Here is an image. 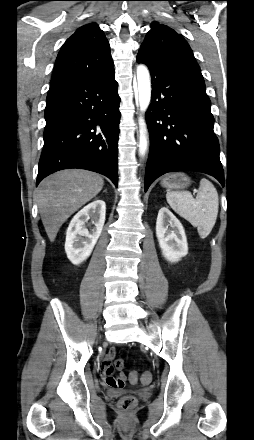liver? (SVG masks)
<instances>
[{
  "label": "liver",
  "mask_w": 254,
  "mask_h": 440,
  "mask_svg": "<svg viewBox=\"0 0 254 440\" xmlns=\"http://www.w3.org/2000/svg\"><path fill=\"white\" fill-rule=\"evenodd\" d=\"M103 178L82 169H66L46 177L37 189V204L53 242L62 224L103 188Z\"/></svg>",
  "instance_id": "obj_1"
}]
</instances>
